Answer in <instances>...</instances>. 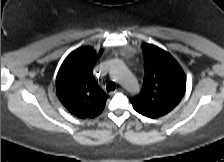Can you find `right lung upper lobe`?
Here are the masks:
<instances>
[{"label":"right lung upper lobe","mask_w":224,"mask_h":162,"mask_svg":"<svg viewBox=\"0 0 224 162\" xmlns=\"http://www.w3.org/2000/svg\"><path fill=\"white\" fill-rule=\"evenodd\" d=\"M102 51L97 53L91 47L76 49L67 56L57 74L56 94L60 102L82 119L101 114L108 98L92 73Z\"/></svg>","instance_id":"cb5924a9"}]
</instances>
